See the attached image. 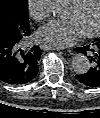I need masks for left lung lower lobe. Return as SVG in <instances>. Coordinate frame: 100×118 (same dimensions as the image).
<instances>
[{"mask_svg": "<svg viewBox=\"0 0 100 118\" xmlns=\"http://www.w3.org/2000/svg\"><path fill=\"white\" fill-rule=\"evenodd\" d=\"M77 52L88 56L90 69L85 74L76 75L77 80L88 87L100 86V37L91 44L75 49Z\"/></svg>", "mask_w": 100, "mask_h": 118, "instance_id": "1", "label": "left lung lower lobe"}]
</instances>
